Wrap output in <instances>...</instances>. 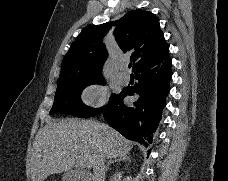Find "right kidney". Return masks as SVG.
Listing matches in <instances>:
<instances>
[{
	"mask_svg": "<svg viewBox=\"0 0 228 181\" xmlns=\"http://www.w3.org/2000/svg\"><path fill=\"white\" fill-rule=\"evenodd\" d=\"M122 179V173H115L112 177V181H121Z\"/></svg>",
	"mask_w": 228,
	"mask_h": 181,
	"instance_id": "ca27d5eb",
	"label": "right kidney"
}]
</instances>
